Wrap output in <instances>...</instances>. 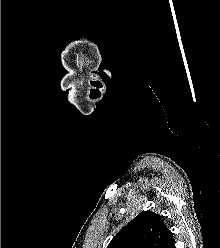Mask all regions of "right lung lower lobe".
Masks as SVG:
<instances>
[{"mask_svg":"<svg viewBox=\"0 0 220 248\" xmlns=\"http://www.w3.org/2000/svg\"><path fill=\"white\" fill-rule=\"evenodd\" d=\"M166 248H175L174 240Z\"/></svg>","mask_w":220,"mask_h":248,"instance_id":"1","label":"right lung lower lobe"}]
</instances>
